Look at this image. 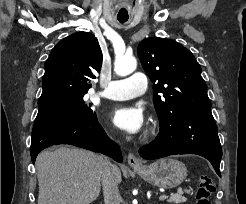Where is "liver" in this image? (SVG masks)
I'll use <instances>...</instances> for the list:
<instances>
[{"label": "liver", "instance_id": "liver-1", "mask_svg": "<svg viewBox=\"0 0 246 204\" xmlns=\"http://www.w3.org/2000/svg\"><path fill=\"white\" fill-rule=\"evenodd\" d=\"M103 158L93 152L60 146L41 152L36 160L38 204H90L101 190ZM122 180L120 169L115 174Z\"/></svg>", "mask_w": 246, "mask_h": 204}]
</instances>
